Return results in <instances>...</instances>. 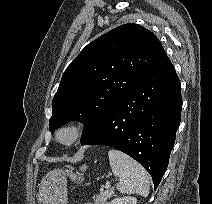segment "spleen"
Instances as JSON below:
<instances>
[{
  "mask_svg": "<svg viewBox=\"0 0 212 204\" xmlns=\"http://www.w3.org/2000/svg\"><path fill=\"white\" fill-rule=\"evenodd\" d=\"M110 167L119 178L116 188L121 193L139 194L147 197L150 191L148 174L134 159L121 151L111 149L108 152Z\"/></svg>",
  "mask_w": 212,
  "mask_h": 204,
  "instance_id": "obj_1",
  "label": "spleen"
}]
</instances>
